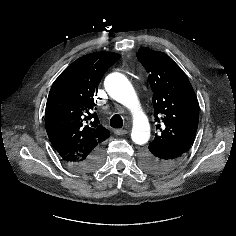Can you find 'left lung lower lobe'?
<instances>
[{"label": "left lung lower lobe", "mask_w": 236, "mask_h": 236, "mask_svg": "<svg viewBox=\"0 0 236 236\" xmlns=\"http://www.w3.org/2000/svg\"><path fill=\"white\" fill-rule=\"evenodd\" d=\"M155 159L150 156H142V161L151 163L153 166L152 171H147L152 174H165L175 168L185 155V151L182 150H169V151H157Z\"/></svg>", "instance_id": "0a47b994"}]
</instances>
